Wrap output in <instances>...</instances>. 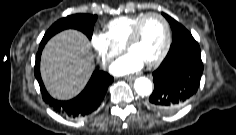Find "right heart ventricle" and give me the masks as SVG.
<instances>
[{"label":"right heart ventricle","mask_w":236,"mask_h":135,"mask_svg":"<svg viewBox=\"0 0 236 135\" xmlns=\"http://www.w3.org/2000/svg\"><path fill=\"white\" fill-rule=\"evenodd\" d=\"M144 13L121 16L109 21L105 26V34L109 40L116 46L122 48L129 37L136 22Z\"/></svg>","instance_id":"e07e8e85"}]
</instances>
